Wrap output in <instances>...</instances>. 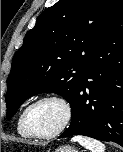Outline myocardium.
<instances>
[{"label":"myocardium","mask_w":123,"mask_h":152,"mask_svg":"<svg viewBox=\"0 0 123 152\" xmlns=\"http://www.w3.org/2000/svg\"><path fill=\"white\" fill-rule=\"evenodd\" d=\"M44 101H56L58 102L64 109V120L62 122V124L53 132L51 133H47V134H39L34 132L28 123V117H29V113L31 111V109ZM72 116H73V111H72V106L70 104V102L62 95L59 94H46L43 95L39 98H37L36 100H34L33 102H31L24 110L23 112V117H22V122H23V126L24 129L26 130V132L33 138H37V139H51L54 137L59 136L60 134H62L67 127L69 126L71 120H72Z\"/></svg>","instance_id":"myocardium-1"}]
</instances>
